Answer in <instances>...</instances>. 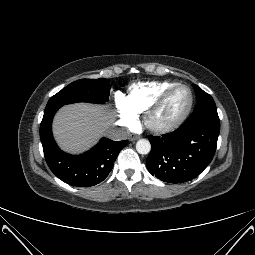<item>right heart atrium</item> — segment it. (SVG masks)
<instances>
[{
    "label": "right heart atrium",
    "instance_id": "1",
    "mask_svg": "<svg viewBox=\"0 0 255 255\" xmlns=\"http://www.w3.org/2000/svg\"><path fill=\"white\" fill-rule=\"evenodd\" d=\"M117 108L121 122L126 127H133L137 123L136 114L126 105L122 98L117 100Z\"/></svg>",
    "mask_w": 255,
    "mask_h": 255
}]
</instances>
